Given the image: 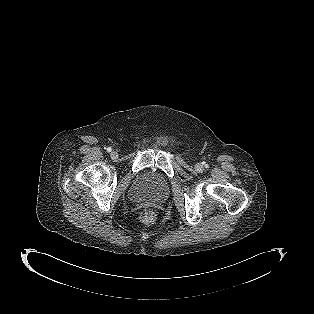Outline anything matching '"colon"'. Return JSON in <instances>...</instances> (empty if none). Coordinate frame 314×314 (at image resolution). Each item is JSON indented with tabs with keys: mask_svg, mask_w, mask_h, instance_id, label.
<instances>
[{
	"mask_svg": "<svg viewBox=\"0 0 314 314\" xmlns=\"http://www.w3.org/2000/svg\"><path fill=\"white\" fill-rule=\"evenodd\" d=\"M139 219L145 224H152L156 221L158 213L151 208H144L139 211Z\"/></svg>",
	"mask_w": 314,
	"mask_h": 314,
	"instance_id": "obj_1",
	"label": "colon"
}]
</instances>
